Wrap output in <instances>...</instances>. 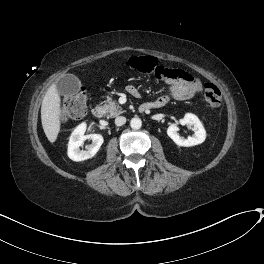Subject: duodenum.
<instances>
[{
  "label": "duodenum",
  "mask_w": 264,
  "mask_h": 264,
  "mask_svg": "<svg viewBox=\"0 0 264 264\" xmlns=\"http://www.w3.org/2000/svg\"><path fill=\"white\" fill-rule=\"evenodd\" d=\"M133 95L134 96H139V92L137 90L133 91ZM140 112H144L149 110V107L147 105H141L139 107ZM105 114V107L103 104L97 103L93 106L92 108V115L93 117H95L96 119H100L104 116Z\"/></svg>",
  "instance_id": "obj_1"
}]
</instances>
